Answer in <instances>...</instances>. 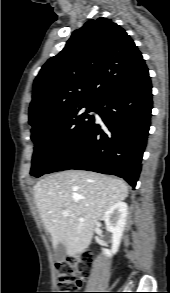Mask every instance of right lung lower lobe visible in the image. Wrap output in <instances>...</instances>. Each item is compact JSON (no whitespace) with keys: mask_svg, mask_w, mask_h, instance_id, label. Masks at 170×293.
<instances>
[{"mask_svg":"<svg viewBox=\"0 0 170 293\" xmlns=\"http://www.w3.org/2000/svg\"><path fill=\"white\" fill-rule=\"evenodd\" d=\"M148 69L112 88L95 105L93 121L47 173L79 169L116 175L135 186L147 143L152 109Z\"/></svg>","mask_w":170,"mask_h":293,"instance_id":"98d812e1","label":"right lung lower lobe"}]
</instances>
